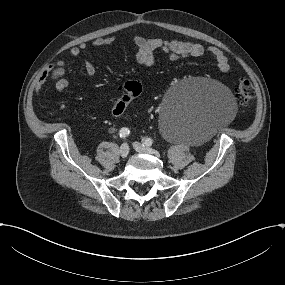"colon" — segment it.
Here are the masks:
<instances>
[{
  "label": "colon",
  "instance_id": "obj_1",
  "mask_svg": "<svg viewBox=\"0 0 285 285\" xmlns=\"http://www.w3.org/2000/svg\"><path fill=\"white\" fill-rule=\"evenodd\" d=\"M56 73L61 72V68L58 67L55 70ZM142 93V85L136 80H130L123 85V94L116 101L112 108V114L115 117L121 116L129 103L137 98ZM255 91L252 83L249 80H241L235 89V98L239 105H247L254 97Z\"/></svg>",
  "mask_w": 285,
  "mask_h": 285
}]
</instances>
